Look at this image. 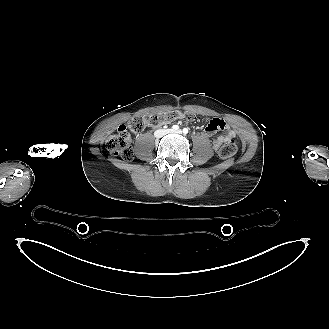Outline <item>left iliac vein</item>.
I'll return each mask as SVG.
<instances>
[{"instance_id":"1","label":"left iliac vein","mask_w":329,"mask_h":329,"mask_svg":"<svg viewBox=\"0 0 329 329\" xmlns=\"http://www.w3.org/2000/svg\"><path fill=\"white\" fill-rule=\"evenodd\" d=\"M168 132H173V133H176V134H181L182 133L181 130H175V131L174 130H172V131L169 130Z\"/></svg>"}]
</instances>
